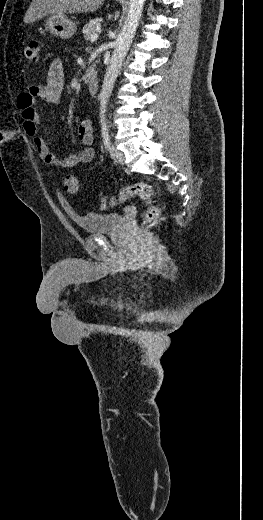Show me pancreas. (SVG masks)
<instances>
[{"mask_svg": "<svg viewBox=\"0 0 263 520\" xmlns=\"http://www.w3.org/2000/svg\"><path fill=\"white\" fill-rule=\"evenodd\" d=\"M100 19H92L86 25H84L82 32L86 41L90 40L91 36L96 34L100 29Z\"/></svg>", "mask_w": 263, "mask_h": 520, "instance_id": "1", "label": "pancreas"}]
</instances>
